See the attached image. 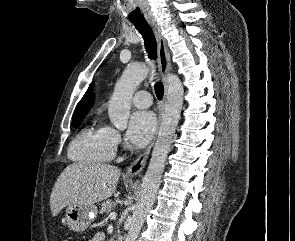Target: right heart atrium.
Returning <instances> with one entry per match:
<instances>
[{
  "mask_svg": "<svg viewBox=\"0 0 295 241\" xmlns=\"http://www.w3.org/2000/svg\"><path fill=\"white\" fill-rule=\"evenodd\" d=\"M111 133H112V141H113L114 146L116 147V146L121 145L122 140H121L120 133L117 130L112 129V128H111Z\"/></svg>",
  "mask_w": 295,
  "mask_h": 241,
  "instance_id": "obj_1",
  "label": "right heart atrium"
}]
</instances>
